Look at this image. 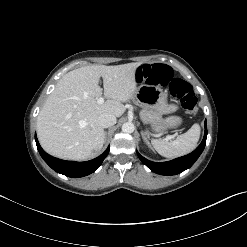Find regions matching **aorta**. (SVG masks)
I'll list each match as a JSON object with an SVG mask.
<instances>
[{
	"label": "aorta",
	"mask_w": 247,
	"mask_h": 247,
	"mask_svg": "<svg viewBox=\"0 0 247 247\" xmlns=\"http://www.w3.org/2000/svg\"><path fill=\"white\" fill-rule=\"evenodd\" d=\"M134 124L131 122H126L122 125V131L124 133H133L134 132Z\"/></svg>",
	"instance_id": "1"
}]
</instances>
